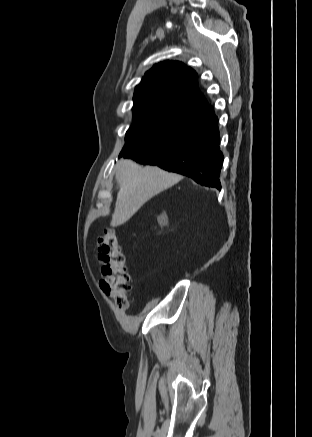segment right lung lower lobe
I'll use <instances>...</instances> for the list:
<instances>
[{
  "mask_svg": "<svg viewBox=\"0 0 312 437\" xmlns=\"http://www.w3.org/2000/svg\"><path fill=\"white\" fill-rule=\"evenodd\" d=\"M217 123L214 110L210 108L176 136L121 157L157 165L191 177L203 186L221 189L219 176L224 158L219 147Z\"/></svg>",
  "mask_w": 312,
  "mask_h": 437,
  "instance_id": "1",
  "label": "right lung lower lobe"
}]
</instances>
